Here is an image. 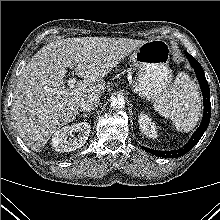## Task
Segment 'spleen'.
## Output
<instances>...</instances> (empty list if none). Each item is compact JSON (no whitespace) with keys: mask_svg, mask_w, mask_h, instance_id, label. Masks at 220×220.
Returning a JSON list of instances; mask_svg holds the SVG:
<instances>
[{"mask_svg":"<svg viewBox=\"0 0 220 220\" xmlns=\"http://www.w3.org/2000/svg\"><path fill=\"white\" fill-rule=\"evenodd\" d=\"M153 106L160 115L169 118L178 131L190 132L200 119L202 98L197 85L180 72Z\"/></svg>","mask_w":220,"mask_h":220,"instance_id":"3e777b00","label":"spleen"}]
</instances>
